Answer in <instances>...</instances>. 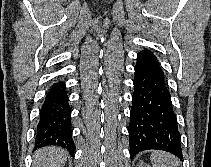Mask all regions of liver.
<instances>
[{"label": "liver", "mask_w": 211, "mask_h": 167, "mask_svg": "<svg viewBox=\"0 0 211 167\" xmlns=\"http://www.w3.org/2000/svg\"><path fill=\"white\" fill-rule=\"evenodd\" d=\"M67 158L66 150L59 147H45L35 152L33 167H63Z\"/></svg>", "instance_id": "obj_1"}]
</instances>
